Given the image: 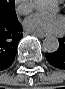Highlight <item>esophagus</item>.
<instances>
[{
    "mask_svg": "<svg viewBox=\"0 0 65 89\" xmlns=\"http://www.w3.org/2000/svg\"><path fill=\"white\" fill-rule=\"evenodd\" d=\"M35 36H37L38 38H44L46 37L45 35H38V34H34Z\"/></svg>",
    "mask_w": 65,
    "mask_h": 89,
    "instance_id": "34e87169",
    "label": "esophagus"
}]
</instances>
